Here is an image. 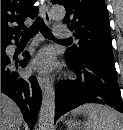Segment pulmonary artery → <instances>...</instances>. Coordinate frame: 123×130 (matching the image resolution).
<instances>
[{
    "instance_id": "1",
    "label": "pulmonary artery",
    "mask_w": 123,
    "mask_h": 130,
    "mask_svg": "<svg viewBox=\"0 0 123 130\" xmlns=\"http://www.w3.org/2000/svg\"><path fill=\"white\" fill-rule=\"evenodd\" d=\"M55 36L59 39H66L71 36V31L64 25H57L55 27Z\"/></svg>"
}]
</instances>
